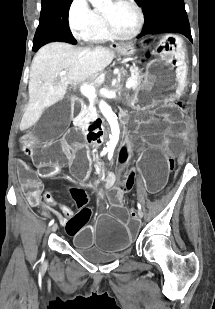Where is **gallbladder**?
I'll return each instance as SVG.
<instances>
[{"mask_svg":"<svg viewBox=\"0 0 215 309\" xmlns=\"http://www.w3.org/2000/svg\"><path fill=\"white\" fill-rule=\"evenodd\" d=\"M50 109H45L40 121L34 125V136L39 140H55V136H64L66 126L70 120L69 112L72 110L71 98H64L61 103H51Z\"/></svg>","mask_w":215,"mask_h":309,"instance_id":"obj_1","label":"gallbladder"}]
</instances>
